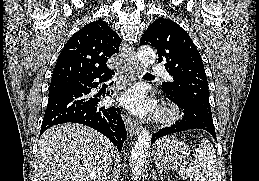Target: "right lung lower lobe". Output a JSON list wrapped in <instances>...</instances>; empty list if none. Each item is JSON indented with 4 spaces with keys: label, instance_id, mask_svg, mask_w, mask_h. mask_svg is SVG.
Returning <instances> with one entry per match:
<instances>
[{
    "label": "right lung lower lobe",
    "instance_id": "right-lung-lower-lobe-1",
    "mask_svg": "<svg viewBox=\"0 0 259 181\" xmlns=\"http://www.w3.org/2000/svg\"><path fill=\"white\" fill-rule=\"evenodd\" d=\"M112 75L114 72L109 70L99 75L78 77L61 84L50 93L40 134L54 125L80 123L107 136L121 151L126 139V129L120 109L114 106L99 107L97 103L100 99L90 94L91 88L98 86L95 79H100V82L107 81Z\"/></svg>",
    "mask_w": 259,
    "mask_h": 181
}]
</instances>
